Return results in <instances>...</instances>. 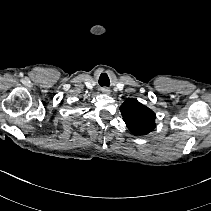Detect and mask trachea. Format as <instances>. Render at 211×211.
Instances as JSON below:
<instances>
[{"label": "trachea", "mask_w": 211, "mask_h": 211, "mask_svg": "<svg viewBox=\"0 0 211 211\" xmlns=\"http://www.w3.org/2000/svg\"><path fill=\"white\" fill-rule=\"evenodd\" d=\"M109 84H104V85H101V86H108Z\"/></svg>", "instance_id": "obj_1"}]
</instances>
